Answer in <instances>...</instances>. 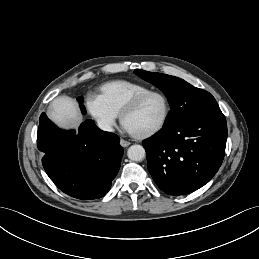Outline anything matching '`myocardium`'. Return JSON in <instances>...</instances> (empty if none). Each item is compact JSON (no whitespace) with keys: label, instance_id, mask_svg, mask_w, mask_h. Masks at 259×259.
<instances>
[{"label":"myocardium","instance_id":"f54148a6","mask_svg":"<svg viewBox=\"0 0 259 259\" xmlns=\"http://www.w3.org/2000/svg\"><path fill=\"white\" fill-rule=\"evenodd\" d=\"M152 95H158L160 96L165 104V112H164V116L161 120V122L153 129H151L150 131L143 133V134H133V136L135 138L138 139H146V138H150L154 135H156L157 133H159L167 124L170 114H171V103L170 100L168 98V96L159 90H150L147 91L145 93H142L138 96H136L135 98H133L126 106L125 108L121 111L120 113V121L121 123L124 125V121L126 119V117L131 114L133 111H135L138 106L149 96Z\"/></svg>","mask_w":259,"mask_h":259}]
</instances>
